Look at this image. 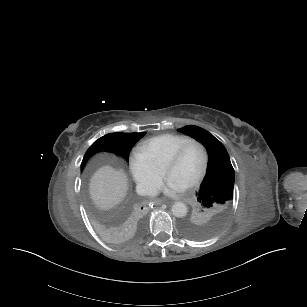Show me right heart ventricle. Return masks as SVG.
<instances>
[{
	"mask_svg": "<svg viewBox=\"0 0 307 307\" xmlns=\"http://www.w3.org/2000/svg\"><path fill=\"white\" fill-rule=\"evenodd\" d=\"M192 137L180 133H166L155 138L139 141L136 145L148 149L159 162L173 154L184 142Z\"/></svg>",
	"mask_w": 307,
	"mask_h": 307,
	"instance_id": "right-heart-ventricle-1",
	"label": "right heart ventricle"
}]
</instances>
